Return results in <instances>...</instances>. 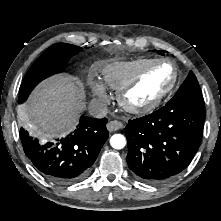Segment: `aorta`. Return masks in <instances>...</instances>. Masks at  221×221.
Wrapping results in <instances>:
<instances>
[{
  "label": "aorta",
  "instance_id": "1",
  "mask_svg": "<svg viewBox=\"0 0 221 221\" xmlns=\"http://www.w3.org/2000/svg\"><path fill=\"white\" fill-rule=\"evenodd\" d=\"M110 145L114 149H122L126 145V139H125V137L122 134H114L110 138Z\"/></svg>",
  "mask_w": 221,
  "mask_h": 221
}]
</instances>
